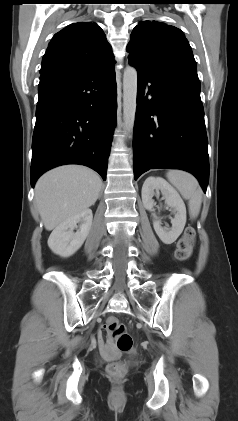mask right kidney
Masks as SVG:
<instances>
[{"label":"right kidney","mask_w":238,"mask_h":421,"mask_svg":"<svg viewBox=\"0 0 238 421\" xmlns=\"http://www.w3.org/2000/svg\"><path fill=\"white\" fill-rule=\"evenodd\" d=\"M93 214L90 209H85L79 214L59 224L48 239V246L53 253L61 257L72 256L84 243L92 225ZM77 223L80 224L77 232Z\"/></svg>","instance_id":"ca27d5eb"}]
</instances>
